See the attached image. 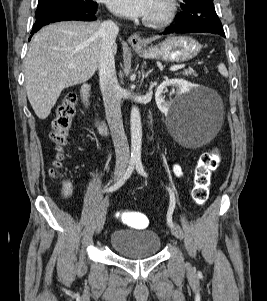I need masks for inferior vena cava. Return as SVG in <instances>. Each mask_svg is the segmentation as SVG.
<instances>
[{
	"instance_id": "inferior-vena-cava-1",
	"label": "inferior vena cava",
	"mask_w": 267,
	"mask_h": 301,
	"mask_svg": "<svg viewBox=\"0 0 267 301\" xmlns=\"http://www.w3.org/2000/svg\"><path fill=\"white\" fill-rule=\"evenodd\" d=\"M119 32L113 21H104L99 27L102 37L99 56V79L106 118L114 142L116 162L127 164L130 159L129 145L124 132L121 115V88L118 84L113 46Z\"/></svg>"
}]
</instances>
